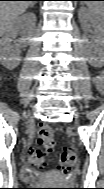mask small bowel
<instances>
[{
	"label": "small bowel",
	"instance_id": "small-bowel-1",
	"mask_svg": "<svg viewBox=\"0 0 104 189\" xmlns=\"http://www.w3.org/2000/svg\"><path fill=\"white\" fill-rule=\"evenodd\" d=\"M104 79L102 76L96 77V85L97 87L101 88L103 87Z\"/></svg>",
	"mask_w": 104,
	"mask_h": 189
}]
</instances>
